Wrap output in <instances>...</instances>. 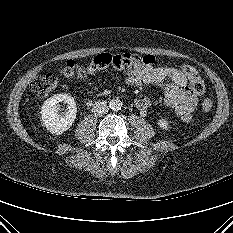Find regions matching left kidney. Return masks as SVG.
Listing matches in <instances>:
<instances>
[{"instance_id": "left-kidney-1", "label": "left kidney", "mask_w": 233, "mask_h": 233, "mask_svg": "<svg viewBox=\"0 0 233 233\" xmlns=\"http://www.w3.org/2000/svg\"><path fill=\"white\" fill-rule=\"evenodd\" d=\"M158 125L160 128L167 130L168 129V122L165 119L158 120Z\"/></svg>"}]
</instances>
